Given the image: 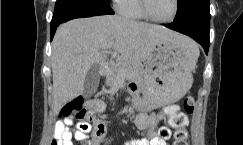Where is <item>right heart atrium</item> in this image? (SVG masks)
Segmentation results:
<instances>
[{
    "label": "right heart atrium",
    "instance_id": "obj_1",
    "mask_svg": "<svg viewBox=\"0 0 243 145\" xmlns=\"http://www.w3.org/2000/svg\"><path fill=\"white\" fill-rule=\"evenodd\" d=\"M114 1V3L116 4V5H118V3L121 1V0H113Z\"/></svg>",
    "mask_w": 243,
    "mask_h": 145
}]
</instances>
